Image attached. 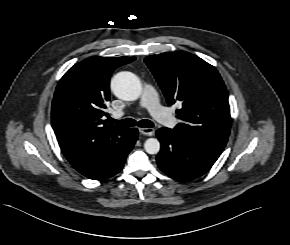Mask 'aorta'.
I'll list each match as a JSON object with an SVG mask.
<instances>
[{
	"label": "aorta",
	"instance_id": "762f6f07",
	"mask_svg": "<svg viewBox=\"0 0 290 245\" xmlns=\"http://www.w3.org/2000/svg\"><path fill=\"white\" fill-rule=\"evenodd\" d=\"M111 89L118 98L134 101L140 97L142 85L135 74L120 72L113 77ZM144 149L148 154H157L160 151V142L156 138H149L144 143Z\"/></svg>",
	"mask_w": 290,
	"mask_h": 245
}]
</instances>
